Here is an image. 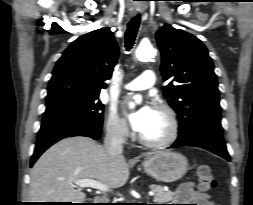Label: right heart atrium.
Masks as SVG:
<instances>
[{"mask_svg": "<svg viewBox=\"0 0 253 205\" xmlns=\"http://www.w3.org/2000/svg\"><path fill=\"white\" fill-rule=\"evenodd\" d=\"M106 132L112 139L117 141H125L130 134L126 121L115 111H110L107 114Z\"/></svg>", "mask_w": 253, "mask_h": 205, "instance_id": "right-heart-atrium-1", "label": "right heart atrium"}]
</instances>
